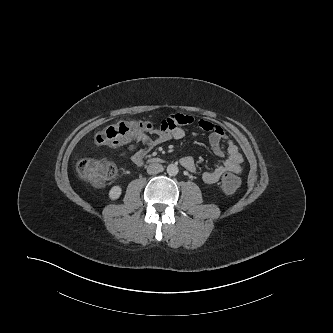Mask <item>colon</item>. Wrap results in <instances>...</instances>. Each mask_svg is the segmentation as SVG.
I'll return each instance as SVG.
<instances>
[{
	"label": "colon",
	"mask_w": 333,
	"mask_h": 333,
	"mask_svg": "<svg viewBox=\"0 0 333 333\" xmlns=\"http://www.w3.org/2000/svg\"><path fill=\"white\" fill-rule=\"evenodd\" d=\"M152 129L151 123L139 119H126L102 129L95 137L98 146H116L128 143L146 135ZM79 174L94 186H101L115 177L117 167L104 159H82L77 166ZM240 185L239 178L227 173L222 178V187L228 193L235 192Z\"/></svg>",
	"instance_id": "obj_1"
}]
</instances>
